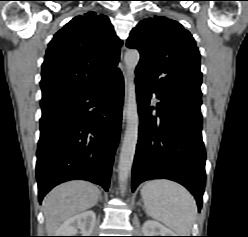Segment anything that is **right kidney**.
I'll return each mask as SVG.
<instances>
[{"instance_id":"ca27d5eb","label":"right kidney","mask_w":248,"mask_h":237,"mask_svg":"<svg viewBox=\"0 0 248 237\" xmlns=\"http://www.w3.org/2000/svg\"><path fill=\"white\" fill-rule=\"evenodd\" d=\"M96 222V214L92 210L82 212L67 219L57 230L56 236H76L78 229L82 236H90Z\"/></svg>"}]
</instances>
